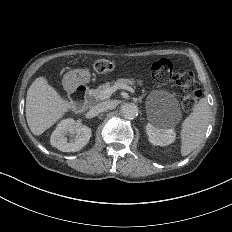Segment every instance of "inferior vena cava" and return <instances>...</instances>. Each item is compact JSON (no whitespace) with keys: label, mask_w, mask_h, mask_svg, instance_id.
Listing matches in <instances>:
<instances>
[{"label":"inferior vena cava","mask_w":232,"mask_h":232,"mask_svg":"<svg viewBox=\"0 0 232 232\" xmlns=\"http://www.w3.org/2000/svg\"><path fill=\"white\" fill-rule=\"evenodd\" d=\"M115 107H116V103L114 101H106V102L99 103L95 107V111L97 113H102V112H106L108 110H111Z\"/></svg>","instance_id":"obj_1"}]
</instances>
